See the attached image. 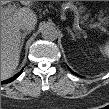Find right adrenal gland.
Masks as SVG:
<instances>
[{
	"instance_id": "obj_1",
	"label": "right adrenal gland",
	"mask_w": 109,
	"mask_h": 109,
	"mask_svg": "<svg viewBox=\"0 0 109 109\" xmlns=\"http://www.w3.org/2000/svg\"><path fill=\"white\" fill-rule=\"evenodd\" d=\"M29 34V32H24L21 36V44H20V50L22 49L23 47V44H24V39L26 37V35Z\"/></svg>"
}]
</instances>
